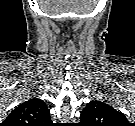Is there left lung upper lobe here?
Listing matches in <instances>:
<instances>
[{
  "instance_id": "1",
  "label": "left lung upper lobe",
  "mask_w": 135,
  "mask_h": 126,
  "mask_svg": "<svg viewBox=\"0 0 135 126\" xmlns=\"http://www.w3.org/2000/svg\"><path fill=\"white\" fill-rule=\"evenodd\" d=\"M85 126H125L126 117L120 111L101 101H91L81 112Z\"/></svg>"
}]
</instances>
